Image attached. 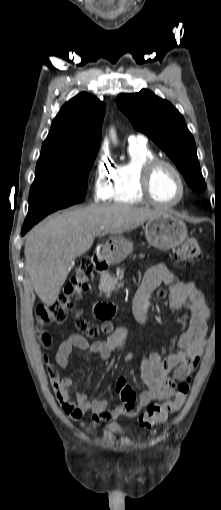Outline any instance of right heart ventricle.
<instances>
[{"instance_id": "1", "label": "right heart ventricle", "mask_w": 221, "mask_h": 510, "mask_svg": "<svg viewBox=\"0 0 221 510\" xmlns=\"http://www.w3.org/2000/svg\"><path fill=\"white\" fill-rule=\"evenodd\" d=\"M128 153L129 160L114 168L110 199L116 203L140 204L145 200L138 187L139 168L155 154L146 143H129Z\"/></svg>"}]
</instances>
